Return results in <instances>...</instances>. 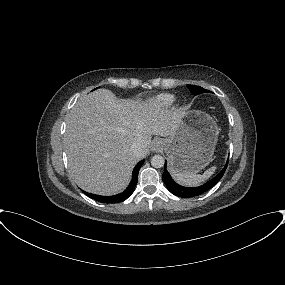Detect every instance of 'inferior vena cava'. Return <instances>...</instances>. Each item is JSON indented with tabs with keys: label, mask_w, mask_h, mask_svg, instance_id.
I'll list each match as a JSON object with an SVG mask.
<instances>
[{
	"label": "inferior vena cava",
	"mask_w": 285,
	"mask_h": 285,
	"mask_svg": "<svg viewBox=\"0 0 285 285\" xmlns=\"http://www.w3.org/2000/svg\"><path fill=\"white\" fill-rule=\"evenodd\" d=\"M130 151L135 155V156H140L142 153V146L140 143L138 142H133L131 147H130Z\"/></svg>",
	"instance_id": "inferior-vena-cava-1"
}]
</instances>
